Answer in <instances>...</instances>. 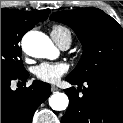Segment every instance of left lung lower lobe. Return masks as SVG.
I'll list each match as a JSON object with an SVG mask.
<instances>
[{
	"instance_id": "obj_1",
	"label": "left lung lower lobe",
	"mask_w": 123,
	"mask_h": 123,
	"mask_svg": "<svg viewBox=\"0 0 123 123\" xmlns=\"http://www.w3.org/2000/svg\"><path fill=\"white\" fill-rule=\"evenodd\" d=\"M66 80L87 86L83 90L65 89L70 101L61 123H123V73H106L84 81L67 76Z\"/></svg>"
}]
</instances>
